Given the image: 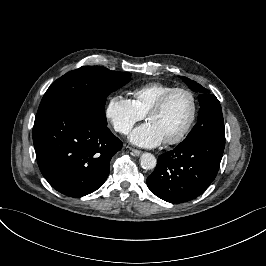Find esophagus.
Wrapping results in <instances>:
<instances>
[{"mask_svg": "<svg viewBox=\"0 0 266 266\" xmlns=\"http://www.w3.org/2000/svg\"><path fill=\"white\" fill-rule=\"evenodd\" d=\"M130 150L136 155V156H139L142 154V151L140 150H137V149H134V148H130Z\"/></svg>", "mask_w": 266, "mask_h": 266, "instance_id": "1", "label": "esophagus"}]
</instances>
